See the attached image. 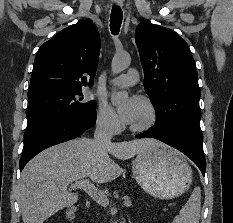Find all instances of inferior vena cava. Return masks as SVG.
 <instances>
[{"instance_id":"1","label":"inferior vena cava","mask_w":233,"mask_h":223,"mask_svg":"<svg viewBox=\"0 0 233 223\" xmlns=\"http://www.w3.org/2000/svg\"><path fill=\"white\" fill-rule=\"evenodd\" d=\"M118 125V119H111V117H98L96 129L94 133V143L97 149H101L103 145L111 143V137Z\"/></svg>"}]
</instances>
